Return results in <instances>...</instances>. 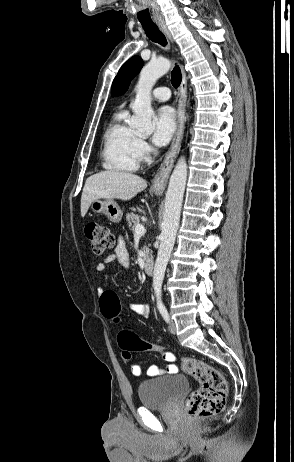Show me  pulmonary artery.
I'll return each mask as SVG.
<instances>
[{
	"mask_svg": "<svg viewBox=\"0 0 294 462\" xmlns=\"http://www.w3.org/2000/svg\"><path fill=\"white\" fill-rule=\"evenodd\" d=\"M152 96L158 101H166L171 96V91L168 87H157L152 91Z\"/></svg>",
	"mask_w": 294,
	"mask_h": 462,
	"instance_id": "pulmonary-artery-1",
	"label": "pulmonary artery"
}]
</instances>
